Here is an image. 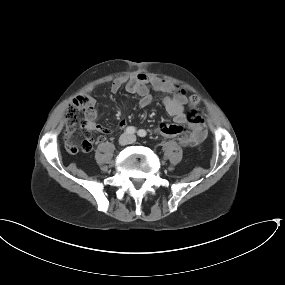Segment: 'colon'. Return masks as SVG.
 Here are the masks:
<instances>
[{"label":"colon","mask_w":285,"mask_h":285,"mask_svg":"<svg viewBox=\"0 0 285 285\" xmlns=\"http://www.w3.org/2000/svg\"><path fill=\"white\" fill-rule=\"evenodd\" d=\"M172 92L181 93L183 92V90L176 87L172 89ZM197 104H198L197 99L195 97H191L189 105L193 112H197ZM90 107H91V98L88 95L83 94L77 96L70 104L67 115L73 121L80 120L81 126L83 128H86L87 123L86 120H83V115L85 114L86 111H88Z\"/></svg>","instance_id":"1"}]
</instances>
